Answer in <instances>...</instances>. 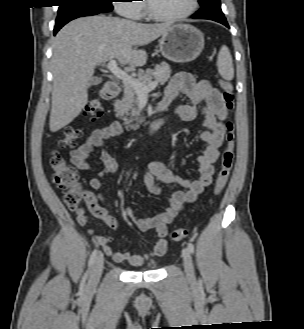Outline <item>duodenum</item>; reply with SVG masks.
Masks as SVG:
<instances>
[{"instance_id": "1", "label": "duodenum", "mask_w": 304, "mask_h": 329, "mask_svg": "<svg viewBox=\"0 0 304 329\" xmlns=\"http://www.w3.org/2000/svg\"><path fill=\"white\" fill-rule=\"evenodd\" d=\"M119 92V86L116 81H108L105 83L103 89H102V97L104 99H111L117 96ZM160 109H163V106L159 107ZM164 123V119L162 118H155L147 123H141V124H136L134 123L132 128L137 129L141 126H145L149 132H155L158 130Z\"/></svg>"}]
</instances>
